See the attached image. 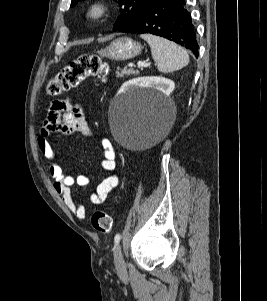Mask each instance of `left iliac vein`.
<instances>
[{
  "instance_id": "obj_1",
  "label": "left iliac vein",
  "mask_w": 267,
  "mask_h": 301,
  "mask_svg": "<svg viewBox=\"0 0 267 301\" xmlns=\"http://www.w3.org/2000/svg\"><path fill=\"white\" fill-rule=\"evenodd\" d=\"M114 263L118 272H124L126 269L125 261L122 255L120 244H117L114 248Z\"/></svg>"
}]
</instances>
